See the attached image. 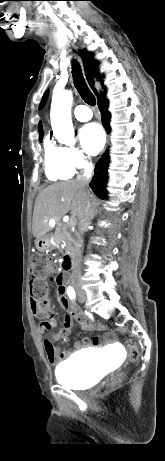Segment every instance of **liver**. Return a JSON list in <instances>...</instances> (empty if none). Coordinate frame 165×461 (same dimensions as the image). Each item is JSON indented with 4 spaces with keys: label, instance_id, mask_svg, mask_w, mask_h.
I'll return each instance as SVG.
<instances>
[{
    "label": "liver",
    "instance_id": "obj_1",
    "mask_svg": "<svg viewBox=\"0 0 165 461\" xmlns=\"http://www.w3.org/2000/svg\"><path fill=\"white\" fill-rule=\"evenodd\" d=\"M91 196V195H90ZM85 202V193L77 180L52 184L36 198L32 232L36 239L51 230L49 221L59 223L68 212L79 219Z\"/></svg>",
    "mask_w": 165,
    "mask_h": 461
}]
</instances>
